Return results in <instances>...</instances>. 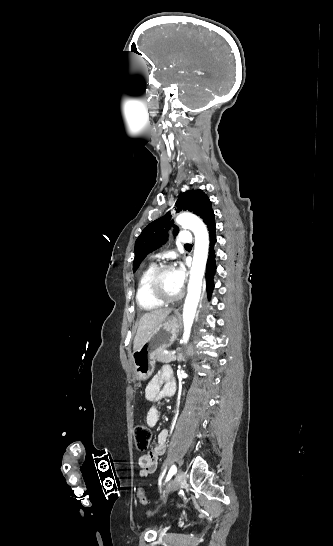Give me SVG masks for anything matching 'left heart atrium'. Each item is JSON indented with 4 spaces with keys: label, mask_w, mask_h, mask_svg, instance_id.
Here are the masks:
<instances>
[{
    "label": "left heart atrium",
    "mask_w": 333,
    "mask_h": 546,
    "mask_svg": "<svg viewBox=\"0 0 333 546\" xmlns=\"http://www.w3.org/2000/svg\"><path fill=\"white\" fill-rule=\"evenodd\" d=\"M173 275L178 288L182 289L185 281V270L182 266H177L173 269Z\"/></svg>",
    "instance_id": "obj_1"
}]
</instances>
